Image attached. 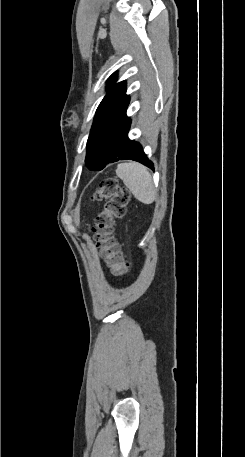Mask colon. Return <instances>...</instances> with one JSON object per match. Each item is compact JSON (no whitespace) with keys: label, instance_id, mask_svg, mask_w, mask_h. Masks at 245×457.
Masks as SVG:
<instances>
[{"label":"colon","instance_id":"colon-1","mask_svg":"<svg viewBox=\"0 0 245 457\" xmlns=\"http://www.w3.org/2000/svg\"><path fill=\"white\" fill-rule=\"evenodd\" d=\"M93 200L103 201L102 211L97 215L94 226L97 245L105 252L112 273L122 278L129 272L120 244L114 237V221L125 216L130 194L113 177L103 179L92 196Z\"/></svg>","mask_w":245,"mask_h":457}]
</instances>
